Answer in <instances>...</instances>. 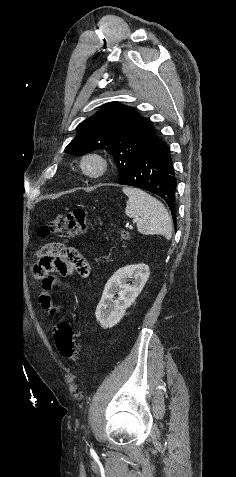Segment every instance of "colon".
Returning a JSON list of instances; mask_svg holds the SVG:
<instances>
[{"label": "colon", "mask_w": 236, "mask_h": 477, "mask_svg": "<svg viewBox=\"0 0 236 477\" xmlns=\"http://www.w3.org/2000/svg\"><path fill=\"white\" fill-rule=\"evenodd\" d=\"M87 229L86 212L83 209H75L72 212L56 216L39 229V236L46 238L49 236H59L65 239L74 238L85 233ZM123 238L127 233L122 234ZM57 253V250L43 246L39 251V257L44 258L49 254ZM76 260L82 265V272L87 273L84 259L77 256ZM79 333L68 321H62L58 324L55 332V343L61 356L68 361L76 362L82 356V350L79 345Z\"/></svg>", "instance_id": "colon-1"}]
</instances>
